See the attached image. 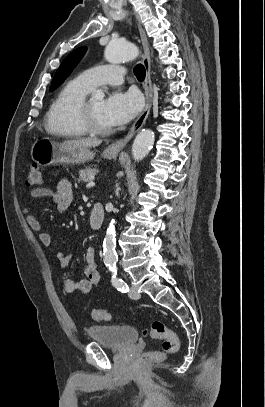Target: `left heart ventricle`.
<instances>
[{
  "mask_svg": "<svg viewBox=\"0 0 265 407\" xmlns=\"http://www.w3.org/2000/svg\"><path fill=\"white\" fill-rule=\"evenodd\" d=\"M89 106L96 124L101 128H111L104 116V100L93 99L89 101Z\"/></svg>",
  "mask_w": 265,
  "mask_h": 407,
  "instance_id": "b2bd125f",
  "label": "left heart ventricle"
}]
</instances>
